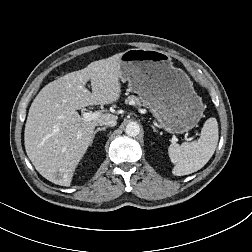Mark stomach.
Segmentation results:
<instances>
[{
	"label": "stomach",
	"instance_id": "obj_1",
	"mask_svg": "<svg viewBox=\"0 0 252 252\" xmlns=\"http://www.w3.org/2000/svg\"><path fill=\"white\" fill-rule=\"evenodd\" d=\"M120 78L173 134L188 132L199 122L203 103L187 74L171 57L153 49H128L120 56Z\"/></svg>",
	"mask_w": 252,
	"mask_h": 252
}]
</instances>
